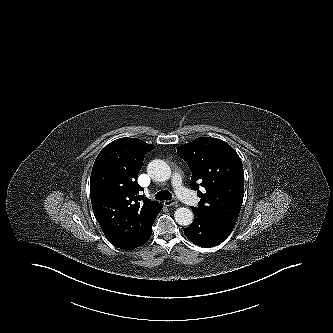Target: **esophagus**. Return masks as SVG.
Wrapping results in <instances>:
<instances>
[{
  "mask_svg": "<svg viewBox=\"0 0 333 333\" xmlns=\"http://www.w3.org/2000/svg\"><path fill=\"white\" fill-rule=\"evenodd\" d=\"M176 204H177V200L176 199L165 200L164 201V205L167 206V207L175 206Z\"/></svg>",
  "mask_w": 333,
  "mask_h": 333,
  "instance_id": "obj_1",
  "label": "esophagus"
}]
</instances>
